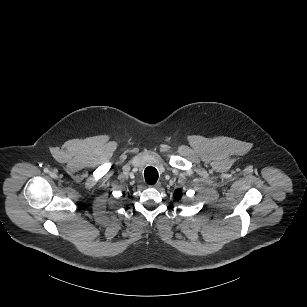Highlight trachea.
I'll use <instances>...</instances> for the list:
<instances>
[{
	"instance_id": "trachea-1",
	"label": "trachea",
	"mask_w": 307,
	"mask_h": 307,
	"mask_svg": "<svg viewBox=\"0 0 307 307\" xmlns=\"http://www.w3.org/2000/svg\"><path fill=\"white\" fill-rule=\"evenodd\" d=\"M146 183L155 184L158 180V172L154 167H147L144 171Z\"/></svg>"
}]
</instances>
